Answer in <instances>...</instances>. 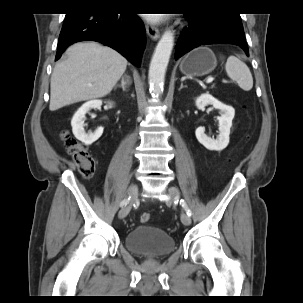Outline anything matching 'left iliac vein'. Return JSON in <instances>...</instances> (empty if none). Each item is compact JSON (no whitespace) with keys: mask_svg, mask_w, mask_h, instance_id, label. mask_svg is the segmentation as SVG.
Listing matches in <instances>:
<instances>
[{"mask_svg":"<svg viewBox=\"0 0 303 303\" xmlns=\"http://www.w3.org/2000/svg\"><path fill=\"white\" fill-rule=\"evenodd\" d=\"M168 193L170 195V198L166 200V203L167 204H171L172 201H178L179 197H180V193H179V190L175 187H170L168 189ZM181 222L188 226L191 224V218L190 216H188L187 214L183 213L181 215Z\"/></svg>","mask_w":303,"mask_h":303,"instance_id":"obj_1","label":"left iliac vein"}]
</instances>
